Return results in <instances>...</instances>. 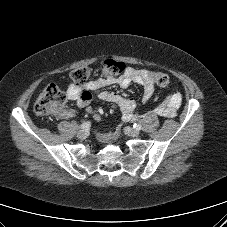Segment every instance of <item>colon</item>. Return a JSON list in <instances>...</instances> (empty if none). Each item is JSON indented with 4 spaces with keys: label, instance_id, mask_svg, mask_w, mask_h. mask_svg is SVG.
<instances>
[{
    "label": "colon",
    "instance_id": "1",
    "mask_svg": "<svg viewBox=\"0 0 227 227\" xmlns=\"http://www.w3.org/2000/svg\"><path fill=\"white\" fill-rule=\"evenodd\" d=\"M125 68L124 63L113 59H106L100 64V71L104 77H117L124 73ZM89 76L88 67H79L71 73V78L76 85L86 83ZM151 77L160 87H165L169 83L168 75L163 72H152ZM67 101V95L57 85L49 84L40 92L35 103V112L40 117L62 114Z\"/></svg>",
    "mask_w": 227,
    "mask_h": 227
}]
</instances>
